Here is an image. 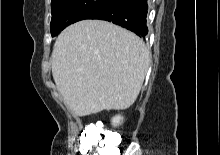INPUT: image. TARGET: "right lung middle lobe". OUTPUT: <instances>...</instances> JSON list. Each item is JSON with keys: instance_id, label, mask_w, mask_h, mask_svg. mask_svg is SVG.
<instances>
[{"instance_id": "1", "label": "right lung middle lobe", "mask_w": 220, "mask_h": 155, "mask_svg": "<svg viewBox=\"0 0 220 155\" xmlns=\"http://www.w3.org/2000/svg\"><path fill=\"white\" fill-rule=\"evenodd\" d=\"M118 0H53L51 1L52 19L50 23L52 37L57 36L68 25L86 19Z\"/></svg>"}]
</instances>
